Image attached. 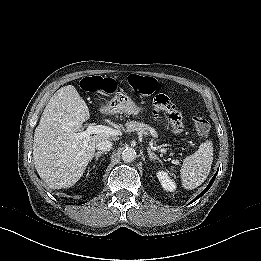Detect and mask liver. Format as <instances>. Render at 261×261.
Masks as SVG:
<instances>
[{
	"label": "liver",
	"mask_w": 261,
	"mask_h": 261,
	"mask_svg": "<svg viewBox=\"0 0 261 261\" xmlns=\"http://www.w3.org/2000/svg\"><path fill=\"white\" fill-rule=\"evenodd\" d=\"M89 118V109L73 85L60 88L49 100L35 129L33 144L35 168L48 186H73L92 160L96 143L110 137L100 133L78 138L77 133Z\"/></svg>",
	"instance_id": "6515ba94"
}]
</instances>
